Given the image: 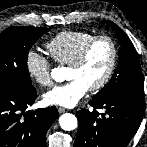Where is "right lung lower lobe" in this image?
I'll return each mask as SVG.
<instances>
[{"mask_svg": "<svg viewBox=\"0 0 147 147\" xmlns=\"http://www.w3.org/2000/svg\"><path fill=\"white\" fill-rule=\"evenodd\" d=\"M37 97L29 91L0 90V147H45L46 132L58 117L56 107L29 110Z\"/></svg>", "mask_w": 147, "mask_h": 147, "instance_id": "1", "label": "right lung lower lobe"}]
</instances>
